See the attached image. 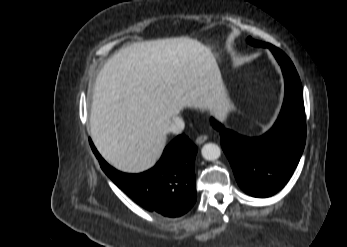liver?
Instances as JSON below:
<instances>
[{
    "label": "liver",
    "instance_id": "6515ba94",
    "mask_svg": "<svg viewBox=\"0 0 347 247\" xmlns=\"http://www.w3.org/2000/svg\"><path fill=\"white\" fill-rule=\"evenodd\" d=\"M230 104L209 47L189 37L135 42L115 52L96 78L90 133L108 163L140 173L161 157L181 110L222 119Z\"/></svg>",
    "mask_w": 347,
    "mask_h": 247
}]
</instances>
